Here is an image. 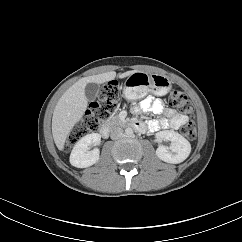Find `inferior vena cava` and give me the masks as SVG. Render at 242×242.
Listing matches in <instances>:
<instances>
[{
  "mask_svg": "<svg viewBox=\"0 0 242 242\" xmlns=\"http://www.w3.org/2000/svg\"><path fill=\"white\" fill-rule=\"evenodd\" d=\"M110 136H111V139H113V140L119 139L123 136V130L119 127H114L111 130Z\"/></svg>",
  "mask_w": 242,
  "mask_h": 242,
  "instance_id": "602c4592",
  "label": "inferior vena cava"
}]
</instances>
